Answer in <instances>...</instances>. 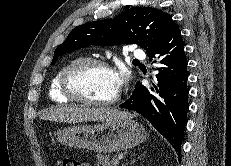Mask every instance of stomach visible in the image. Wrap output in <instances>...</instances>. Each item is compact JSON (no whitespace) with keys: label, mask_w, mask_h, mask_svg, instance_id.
I'll use <instances>...</instances> for the list:
<instances>
[{"label":"stomach","mask_w":231,"mask_h":166,"mask_svg":"<svg viewBox=\"0 0 231 166\" xmlns=\"http://www.w3.org/2000/svg\"><path fill=\"white\" fill-rule=\"evenodd\" d=\"M146 133L133 116L120 117L97 125H76L57 132V140L66 146L99 153L118 152L142 143Z\"/></svg>","instance_id":"0dacf381"}]
</instances>
